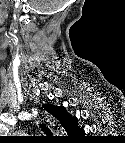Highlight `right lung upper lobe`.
I'll return each mask as SVG.
<instances>
[{"instance_id": "right-lung-upper-lobe-1", "label": "right lung upper lobe", "mask_w": 125, "mask_h": 143, "mask_svg": "<svg viewBox=\"0 0 125 143\" xmlns=\"http://www.w3.org/2000/svg\"><path fill=\"white\" fill-rule=\"evenodd\" d=\"M44 109L60 121L61 125L69 136H74L82 133V130L77 126V119L70 116L63 106L55 107L50 104L43 105Z\"/></svg>"}]
</instances>
